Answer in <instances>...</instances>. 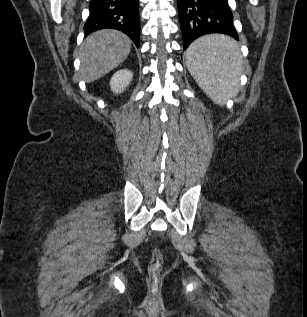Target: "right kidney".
Instances as JSON below:
<instances>
[{"label": "right kidney", "instance_id": "obj_1", "mask_svg": "<svg viewBox=\"0 0 307 317\" xmlns=\"http://www.w3.org/2000/svg\"><path fill=\"white\" fill-rule=\"evenodd\" d=\"M133 73L128 69L117 71L110 80V87L114 93H121L130 84Z\"/></svg>", "mask_w": 307, "mask_h": 317}]
</instances>
